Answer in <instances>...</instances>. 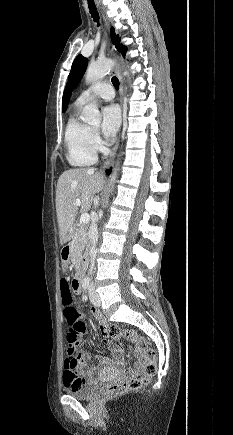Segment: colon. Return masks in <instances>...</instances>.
Here are the masks:
<instances>
[{"label":"colon","instance_id":"5ec220e1","mask_svg":"<svg viewBox=\"0 0 233 435\" xmlns=\"http://www.w3.org/2000/svg\"><path fill=\"white\" fill-rule=\"evenodd\" d=\"M64 280L66 279L64 278ZM64 302L66 304V308L64 309V316L67 323L71 325L78 319L79 314L76 308L73 306V298L71 294L64 298ZM109 333L117 340H119L121 336H124L126 340L130 342L137 340V335L135 331H122L118 326H112L109 330ZM75 349L76 347L72 343V341H67L66 353L74 357L76 356ZM155 358V350L148 348L145 352L146 365L144 367L142 376L139 378H129L122 382L111 383L102 390V396L106 399L116 398L118 396L138 390L143 385L149 384L156 373Z\"/></svg>","mask_w":233,"mask_h":435}]
</instances>
